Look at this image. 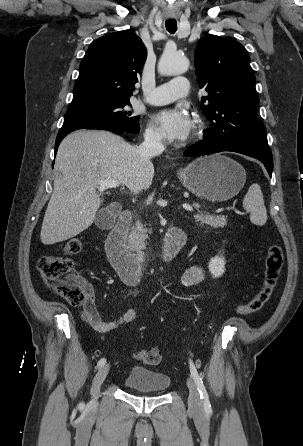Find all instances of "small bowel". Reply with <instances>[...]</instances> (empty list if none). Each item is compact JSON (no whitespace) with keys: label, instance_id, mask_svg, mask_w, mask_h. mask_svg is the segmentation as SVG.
<instances>
[{"label":"small bowel","instance_id":"1","mask_svg":"<svg viewBox=\"0 0 303 446\" xmlns=\"http://www.w3.org/2000/svg\"><path fill=\"white\" fill-rule=\"evenodd\" d=\"M205 275L206 270L204 267L200 265H192L183 272L180 278V284L183 287L192 286L201 282L204 279ZM82 286L86 294V301L80 308L79 315L89 327L97 331L107 332L117 329L127 323H130L136 318V311L134 309H129L123 314L120 319L116 321H103L95 303V297L92 287L87 283H82Z\"/></svg>","mask_w":303,"mask_h":446}]
</instances>
